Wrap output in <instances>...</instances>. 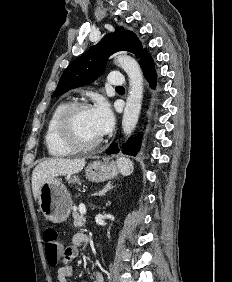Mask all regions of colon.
<instances>
[{
    "mask_svg": "<svg viewBox=\"0 0 232 282\" xmlns=\"http://www.w3.org/2000/svg\"><path fill=\"white\" fill-rule=\"evenodd\" d=\"M43 244L46 260L51 267H55L68 254L66 249H62L59 233L54 228L48 227L44 230Z\"/></svg>",
    "mask_w": 232,
    "mask_h": 282,
    "instance_id": "colon-1",
    "label": "colon"
}]
</instances>
